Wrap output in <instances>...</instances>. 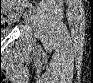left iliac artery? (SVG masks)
I'll use <instances>...</instances> for the list:
<instances>
[{"mask_svg":"<svg viewBox=\"0 0 93 83\" xmlns=\"http://www.w3.org/2000/svg\"><path fill=\"white\" fill-rule=\"evenodd\" d=\"M29 11H30V13H32V12H34L35 10H34V7L31 5V6H29Z\"/></svg>","mask_w":93,"mask_h":83,"instance_id":"left-iliac-artery-1","label":"left iliac artery"}]
</instances>
